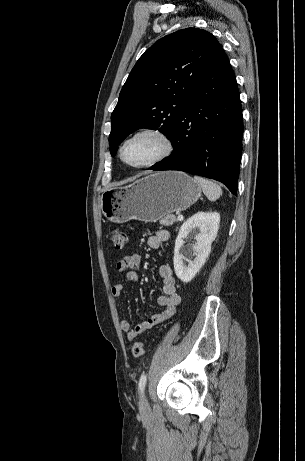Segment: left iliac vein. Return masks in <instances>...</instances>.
Here are the masks:
<instances>
[{"label": "left iliac vein", "mask_w": 305, "mask_h": 461, "mask_svg": "<svg viewBox=\"0 0 305 461\" xmlns=\"http://www.w3.org/2000/svg\"><path fill=\"white\" fill-rule=\"evenodd\" d=\"M148 401L146 399V396L144 394H142V396L140 397V401H139V407L141 410H146L148 408Z\"/></svg>", "instance_id": "obj_1"}]
</instances>
